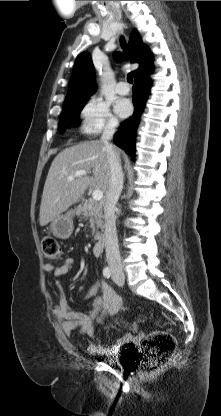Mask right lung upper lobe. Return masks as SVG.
<instances>
[{"label":"right lung upper lobe","instance_id":"cb5924a9","mask_svg":"<svg viewBox=\"0 0 221 416\" xmlns=\"http://www.w3.org/2000/svg\"><path fill=\"white\" fill-rule=\"evenodd\" d=\"M127 53L132 63H139L140 65L134 71L135 77L152 71V54L147 46L142 43L137 30L130 37ZM114 56L117 59L122 57L119 53H115ZM94 78V67L89 52L80 53L74 64L65 102L88 98L93 94L96 91Z\"/></svg>","mask_w":221,"mask_h":416}]
</instances>
